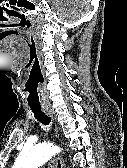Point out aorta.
Instances as JSON below:
<instances>
[{
    "mask_svg": "<svg viewBox=\"0 0 127 168\" xmlns=\"http://www.w3.org/2000/svg\"><path fill=\"white\" fill-rule=\"evenodd\" d=\"M58 151V148L46 143L36 146H25L13 168H38L51 159Z\"/></svg>",
    "mask_w": 127,
    "mask_h": 168,
    "instance_id": "aorta-1",
    "label": "aorta"
}]
</instances>
